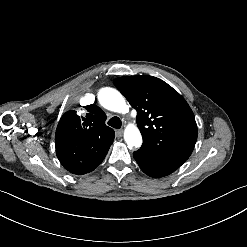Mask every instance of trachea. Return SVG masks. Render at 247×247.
<instances>
[{
    "mask_svg": "<svg viewBox=\"0 0 247 247\" xmlns=\"http://www.w3.org/2000/svg\"><path fill=\"white\" fill-rule=\"evenodd\" d=\"M108 124L110 126H112L113 128H121V125H122V122L121 120L119 119V117L115 116V117H112L109 121H108Z\"/></svg>",
    "mask_w": 247,
    "mask_h": 247,
    "instance_id": "3493384b",
    "label": "trachea"
}]
</instances>
